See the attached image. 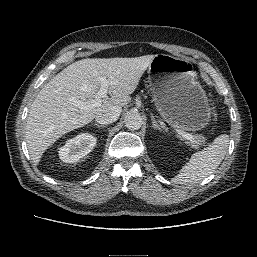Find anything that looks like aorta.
<instances>
[{
    "mask_svg": "<svg viewBox=\"0 0 257 257\" xmlns=\"http://www.w3.org/2000/svg\"><path fill=\"white\" fill-rule=\"evenodd\" d=\"M124 123L129 130H138L143 124L142 116L138 111L131 110L126 113Z\"/></svg>",
    "mask_w": 257,
    "mask_h": 257,
    "instance_id": "1",
    "label": "aorta"
}]
</instances>
